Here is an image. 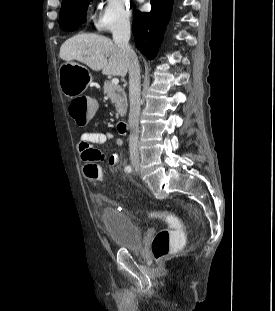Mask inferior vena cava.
<instances>
[{"mask_svg": "<svg viewBox=\"0 0 275 311\" xmlns=\"http://www.w3.org/2000/svg\"><path fill=\"white\" fill-rule=\"evenodd\" d=\"M130 22L123 21L113 31L114 43L121 48L124 53L130 56L131 62L129 66V151L130 158L139 160L138 138H139V116H140V91H141V77L140 65L137 56L131 46L129 45L130 39Z\"/></svg>", "mask_w": 275, "mask_h": 311, "instance_id": "1", "label": "inferior vena cava"}]
</instances>
